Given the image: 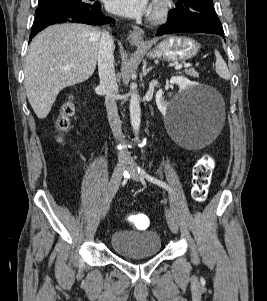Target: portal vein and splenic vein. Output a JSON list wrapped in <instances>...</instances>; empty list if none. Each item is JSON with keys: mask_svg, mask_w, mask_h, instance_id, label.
I'll return each mask as SVG.
<instances>
[{"mask_svg": "<svg viewBox=\"0 0 267 301\" xmlns=\"http://www.w3.org/2000/svg\"><path fill=\"white\" fill-rule=\"evenodd\" d=\"M191 66H192V65H191L190 63L184 64V67H191ZM182 67H183L182 65H177V66H175V69H176V70H180Z\"/></svg>", "mask_w": 267, "mask_h": 301, "instance_id": "portal-vein-and-splenic-vein-1", "label": "portal vein and splenic vein"}]
</instances>
